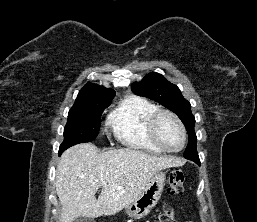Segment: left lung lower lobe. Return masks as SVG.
Segmentation results:
<instances>
[{"label":"left lung lower lobe","instance_id":"1","mask_svg":"<svg viewBox=\"0 0 257 222\" xmlns=\"http://www.w3.org/2000/svg\"><path fill=\"white\" fill-rule=\"evenodd\" d=\"M195 163H197L198 165H200V160H197Z\"/></svg>","mask_w":257,"mask_h":222}]
</instances>
